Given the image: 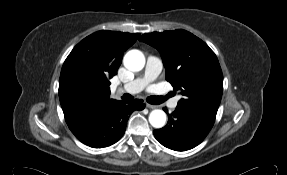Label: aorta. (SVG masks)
Returning a JSON list of instances; mask_svg holds the SVG:
<instances>
[{
    "instance_id": "762f6f07",
    "label": "aorta",
    "mask_w": 287,
    "mask_h": 175,
    "mask_svg": "<svg viewBox=\"0 0 287 175\" xmlns=\"http://www.w3.org/2000/svg\"><path fill=\"white\" fill-rule=\"evenodd\" d=\"M124 66L130 71H140L145 66V56L139 50H130L123 59ZM149 122L154 128H162L166 123V113L155 109L149 115Z\"/></svg>"
}]
</instances>
